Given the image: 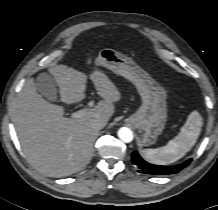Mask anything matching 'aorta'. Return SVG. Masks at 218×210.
Masks as SVG:
<instances>
[{"label": "aorta", "mask_w": 218, "mask_h": 210, "mask_svg": "<svg viewBox=\"0 0 218 210\" xmlns=\"http://www.w3.org/2000/svg\"><path fill=\"white\" fill-rule=\"evenodd\" d=\"M118 136L126 143H129L133 140V132L127 127L120 128L118 131Z\"/></svg>", "instance_id": "1"}]
</instances>
